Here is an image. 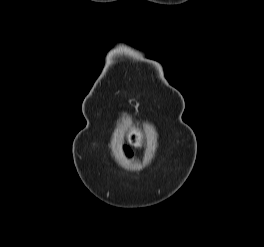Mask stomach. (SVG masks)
Segmentation results:
<instances>
[{"label":"stomach","mask_w":264,"mask_h":247,"mask_svg":"<svg viewBox=\"0 0 264 247\" xmlns=\"http://www.w3.org/2000/svg\"><path fill=\"white\" fill-rule=\"evenodd\" d=\"M151 131L148 128H133L126 134L128 143L135 147H141L151 139Z\"/></svg>","instance_id":"0dacf381"}]
</instances>
